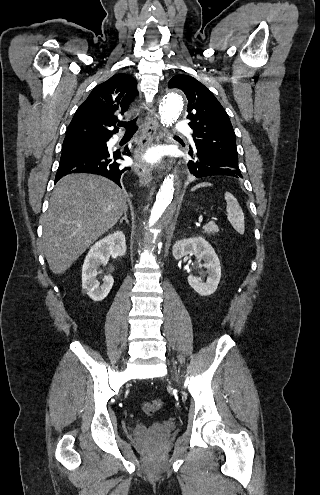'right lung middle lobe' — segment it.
Masks as SVG:
<instances>
[{
	"instance_id": "1",
	"label": "right lung middle lobe",
	"mask_w": 320,
	"mask_h": 495,
	"mask_svg": "<svg viewBox=\"0 0 320 495\" xmlns=\"http://www.w3.org/2000/svg\"><path fill=\"white\" fill-rule=\"evenodd\" d=\"M106 138H85L78 140L64 141L62 148H97L104 147Z\"/></svg>"
}]
</instances>
